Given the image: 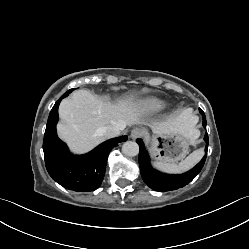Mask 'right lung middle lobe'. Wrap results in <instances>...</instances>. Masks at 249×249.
<instances>
[{"mask_svg": "<svg viewBox=\"0 0 249 249\" xmlns=\"http://www.w3.org/2000/svg\"><path fill=\"white\" fill-rule=\"evenodd\" d=\"M73 91V89H70V90H68L65 94H63L65 97L70 93V92H72Z\"/></svg>", "mask_w": 249, "mask_h": 249, "instance_id": "obj_1", "label": "right lung middle lobe"}]
</instances>
